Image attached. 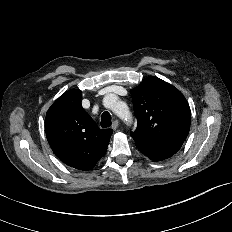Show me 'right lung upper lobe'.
<instances>
[{
    "instance_id": "right-lung-upper-lobe-1",
    "label": "right lung upper lobe",
    "mask_w": 232,
    "mask_h": 232,
    "mask_svg": "<svg viewBox=\"0 0 232 232\" xmlns=\"http://www.w3.org/2000/svg\"><path fill=\"white\" fill-rule=\"evenodd\" d=\"M45 132L54 154L70 167L88 171L106 153L112 129H100L81 105V91L65 92L49 108Z\"/></svg>"
}]
</instances>
